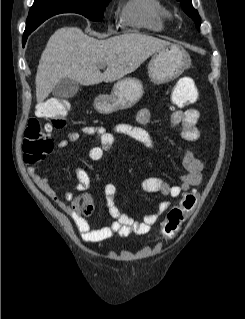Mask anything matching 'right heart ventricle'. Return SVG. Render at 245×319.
I'll return each instance as SVG.
<instances>
[{"label": "right heart ventricle", "instance_id": "right-heart-ventricle-1", "mask_svg": "<svg viewBox=\"0 0 245 319\" xmlns=\"http://www.w3.org/2000/svg\"><path fill=\"white\" fill-rule=\"evenodd\" d=\"M170 17L161 0H126L120 10V18L126 25L153 32L162 31Z\"/></svg>", "mask_w": 245, "mask_h": 319}]
</instances>
